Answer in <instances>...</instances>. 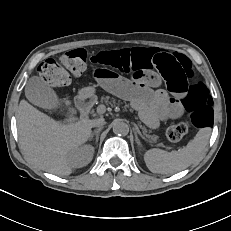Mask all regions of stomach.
<instances>
[{"mask_svg": "<svg viewBox=\"0 0 231 231\" xmlns=\"http://www.w3.org/2000/svg\"><path fill=\"white\" fill-rule=\"evenodd\" d=\"M80 96L82 98H88L94 96V89L91 87L84 88L80 91Z\"/></svg>", "mask_w": 231, "mask_h": 231, "instance_id": "stomach-1", "label": "stomach"}]
</instances>
